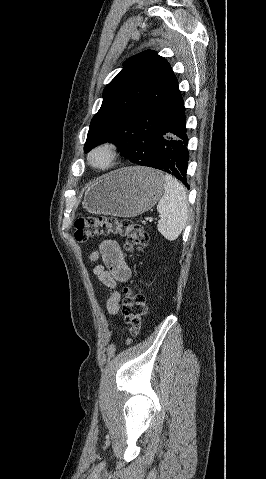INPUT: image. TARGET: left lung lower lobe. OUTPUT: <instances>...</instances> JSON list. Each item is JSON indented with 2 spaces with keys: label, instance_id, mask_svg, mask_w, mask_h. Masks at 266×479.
I'll list each match as a JSON object with an SVG mask.
<instances>
[{
  "label": "left lung lower lobe",
  "instance_id": "left-lung-lower-lobe-1",
  "mask_svg": "<svg viewBox=\"0 0 266 479\" xmlns=\"http://www.w3.org/2000/svg\"><path fill=\"white\" fill-rule=\"evenodd\" d=\"M187 145L184 102L179 92L161 124L152 160L142 166L165 171L189 188L186 174L189 160Z\"/></svg>",
  "mask_w": 266,
  "mask_h": 479
}]
</instances>
